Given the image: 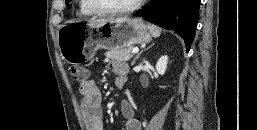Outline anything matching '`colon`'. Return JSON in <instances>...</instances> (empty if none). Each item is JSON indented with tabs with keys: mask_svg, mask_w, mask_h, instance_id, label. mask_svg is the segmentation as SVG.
Wrapping results in <instances>:
<instances>
[{
	"mask_svg": "<svg viewBox=\"0 0 257 130\" xmlns=\"http://www.w3.org/2000/svg\"><path fill=\"white\" fill-rule=\"evenodd\" d=\"M69 72L79 82L85 81L88 77V71L81 66L71 65L69 66Z\"/></svg>",
	"mask_w": 257,
	"mask_h": 130,
	"instance_id": "1",
	"label": "colon"
}]
</instances>
